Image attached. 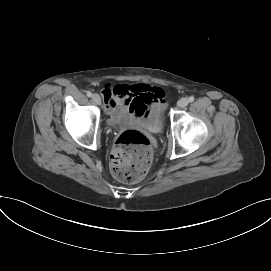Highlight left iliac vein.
Listing matches in <instances>:
<instances>
[{
    "mask_svg": "<svg viewBox=\"0 0 271 271\" xmlns=\"http://www.w3.org/2000/svg\"><path fill=\"white\" fill-rule=\"evenodd\" d=\"M188 104H189V100H188L187 98H181V99L178 101V103H177V105H178L179 108H184V107H186Z\"/></svg>",
    "mask_w": 271,
    "mask_h": 271,
    "instance_id": "1",
    "label": "left iliac vein"
}]
</instances>
